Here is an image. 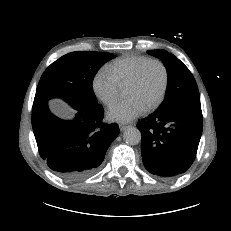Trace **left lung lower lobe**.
Instances as JSON below:
<instances>
[{"instance_id":"left-lung-lower-lobe-1","label":"left lung lower lobe","mask_w":231,"mask_h":231,"mask_svg":"<svg viewBox=\"0 0 231 231\" xmlns=\"http://www.w3.org/2000/svg\"><path fill=\"white\" fill-rule=\"evenodd\" d=\"M142 134L145 168L162 178L185 172L193 163L203 129L200 104H186L165 113L149 115L137 124Z\"/></svg>"}]
</instances>
